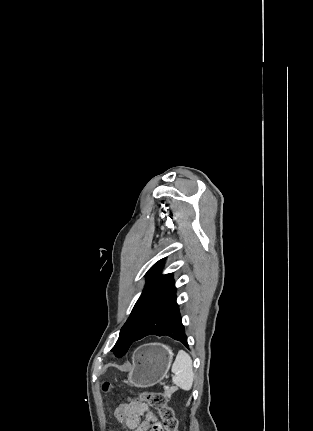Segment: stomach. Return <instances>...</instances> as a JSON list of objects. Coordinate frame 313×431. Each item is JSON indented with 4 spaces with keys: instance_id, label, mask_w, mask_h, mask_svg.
Listing matches in <instances>:
<instances>
[{
    "instance_id": "obj_1",
    "label": "stomach",
    "mask_w": 313,
    "mask_h": 431,
    "mask_svg": "<svg viewBox=\"0 0 313 431\" xmlns=\"http://www.w3.org/2000/svg\"><path fill=\"white\" fill-rule=\"evenodd\" d=\"M173 353L159 343L144 344L133 355V366L128 382L135 387L147 388L160 382L168 373Z\"/></svg>"
}]
</instances>
